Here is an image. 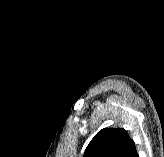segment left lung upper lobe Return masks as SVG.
<instances>
[{"label": "left lung upper lobe", "instance_id": "5c2ea615", "mask_svg": "<svg viewBox=\"0 0 164 157\" xmlns=\"http://www.w3.org/2000/svg\"><path fill=\"white\" fill-rule=\"evenodd\" d=\"M134 145L126 130L105 128L93 137L83 157H128Z\"/></svg>", "mask_w": 164, "mask_h": 157}]
</instances>
